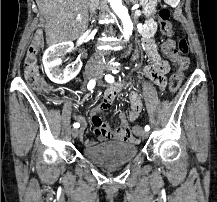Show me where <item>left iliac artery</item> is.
<instances>
[{"instance_id": "left-iliac-artery-1", "label": "left iliac artery", "mask_w": 217, "mask_h": 202, "mask_svg": "<svg viewBox=\"0 0 217 202\" xmlns=\"http://www.w3.org/2000/svg\"><path fill=\"white\" fill-rule=\"evenodd\" d=\"M105 80L108 82V83H113L114 82V77L112 75H106L105 76ZM150 130V127L148 125L145 126V131H149Z\"/></svg>"}]
</instances>
